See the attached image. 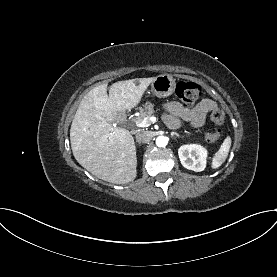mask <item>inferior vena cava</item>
<instances>
[{
    "label": "inferior vena cava",
    "instance_id": "602c4592",
    "mask_svg": "<svg viewBox=\"0 0 277 277\" xmlns=\"http://www.w3.org/2000/svg\"><path fill=\"white\" fill-rule=\"evenodd\" d=\"M135 137L138 143H147L151 139V135L148 131H140L136 134Z\"/></svg>",
    "mask_w": 277,
    "mask_h": 277
}]
</instances>
